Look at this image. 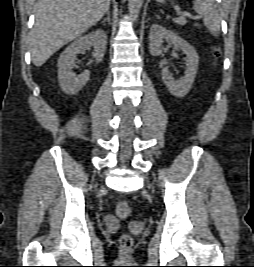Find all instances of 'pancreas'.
<instances>
[{"label": "pancreas", "instance_id": "obj_1", "mask_svg": "<svg viewBox=\"0 0 254 267\" xmlns=\"http://www.w3.org/2000/svg\"><path fill=\"white\" fill-rule=\"evenodd\" d=\"M174 22L179 25H185L187 20L184 17H179V18L174 19Z\"/></svg>", "mask_w": 254, "mask_h": 267}]
</instances>
